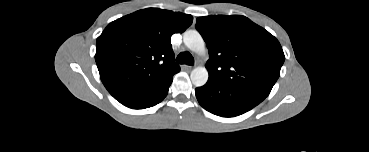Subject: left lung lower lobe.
<instances>
[{
  "label": "left lung lower lobe",
  "instance_id": "left-lung-lower-lobe-1",
  "mask_svg": "<svg viewBox=\"0 0 369 152\" xmlns=\"http://www.w3.org/2000/svg\"><path fill=\"white\" fill-rule=\"evenodd\" d=\"M195 94L204 109L222 117L241 115L267 97L254 91L233 88L210 78L204 86L196 88Z\"/></svg>",
  "mask_w": 369,
  "mask_h": 152
}]
</instances>
